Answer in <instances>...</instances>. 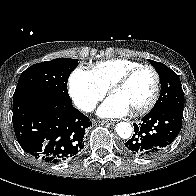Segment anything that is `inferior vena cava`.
Here are the masks:
<instances>
[{"label": "inferior vena cava", "instance_id": "1", "mask_svg": "<svg viewBox=\"0 0 196 196\" xmlns=\"http://www.w3.org/2000/svg\"><path fill=\"white\" fill-rule=\"evenodd\" d=\"M79 108H81L83 111L91 112L95 109V104L88 101H83L79 104Z\"/></svg>", "mask_w": 196, "mask_h": 196}]
</instances>
